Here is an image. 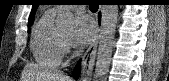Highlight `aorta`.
Masks as SVG:
<instances>
[{"label":"aorta","mask_w":169,"mask_h":81,"mask_svg":"<svg viewBox=\"0 0 169 81\" xmlns=\"http://www.w3.org/2000/svg\"><path fill=\"white\" fill-rule=\"evenodd\" d=\"M73 14L67 9H60L57 14V26L62 29H71ZM118 21V5H103L100 41L97 52V61L94 72V81H106L109 72L116 25Z\"/></svg>","instance_id":"762f6f07"}]
</instances>
